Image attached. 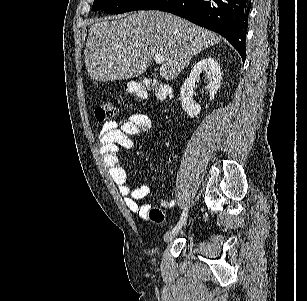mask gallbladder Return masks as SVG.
Returning <instances> with one entry per match:
<instances>
[{
	"label": "gallbladder",
	"mask_w": 307,
	"mask_h": 301,
	"mask_svg": "<svg viewBox=\"0 0 307 301\" xmlns=\"http://www.w3.org/2000/svg\"><path fill=\"white\" fill-rule=\"evenodd\" d=\"M153 76H156V72H153Z\"/></svg>",
	"instance_id": "bac80fb5"
}]
</instances>
